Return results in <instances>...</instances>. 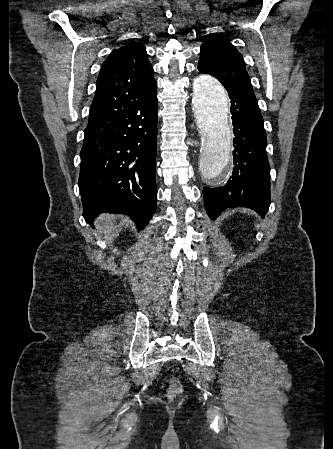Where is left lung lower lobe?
<instances>
[{"label": "left lung lower lobe", "mask_w": 333, "mask_h": 449, "mask_svg": "<svg viewBox=\"0 0 333 449\" xmlns=\"http://www.w3.org/2000/svg\"><path fill=\"white\" fill-rule=\"evenodd\" d=\"M226 90L231 100L235 167L224 186L203 189L207 214L215 219L225 208L242 206L264 216L271 203L264 121L255 96L234 88Z\"/></svg>", "instance_id": "1"}]
</instances>
